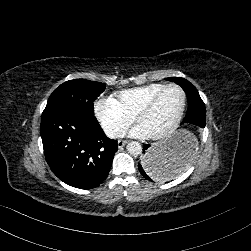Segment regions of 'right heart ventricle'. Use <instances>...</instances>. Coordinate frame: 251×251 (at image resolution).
I'll list each match as a JSON object with an SVG mask.
<instances>
[{"mask_svg": "<svg viewBox=\"0 0 251 251\" xmlns=\"http://www.w3.org/2000/svg\"><path fill=\"white\" fill-rule=\"evenodd\" d=\"M165 85L164 83L153 82L125 89L119 94L120 102L129 112L135 114L142 105Z\"/></svg>", "mask_w": 251, "mask_h": 251, "instance_id": "e07e8e85", "label": "right heart ventricle"}]
</instances>
